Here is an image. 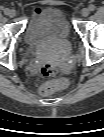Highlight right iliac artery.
I'll use <instances>...</instances> for the list:
<instances>
[{"instance_id":"1","label":"right iliac artery","mask_w":104,"mask_h":137,"mask_svg":"<svg viewBox=\"0 0 104 137\" xmlns=\"http://www.w3.org/2000/svg\"><path fill=\"white\" fill-rule=\"evenodd\" d=\"M3 11H4L5 14H7L8 9H7V8H4Z\"/></svg>"}]
</instances>
